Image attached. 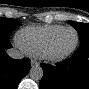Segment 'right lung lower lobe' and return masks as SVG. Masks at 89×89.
Returning <instances> with one entry per match:
<instances>
[{"label": "right lung lower lobe", "instance_id": "98d812e1", "mask_svg": "<svg viewBox=\"0 0 89 89\" xmlns=\"http://www.w3.org/2000/svg\"><path fill=\"white\" fill-rule=\"evenodd\" d=\"M11 47L9 39H0V89H16L31 68L29 59L15 60L7 55L5 50Z\"/></svg>", "mask_w": 89, "mask_h": 89}]
</instances>
